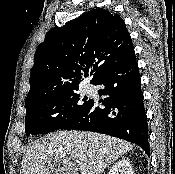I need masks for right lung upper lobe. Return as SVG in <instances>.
Segmentation results:
<instances>
[{"label":"right lung upper lobe","mask_w":175,"mask_h":174,"mask_svg":"<svg viewBox=\"0 0 175 174\" xmlns=\"http://www.w3.org/2000/svg\"><path fill=\"white\" fill-rule=\"evenodd\" d=\"M134 52L130 34L119 15L98 8L55 27L34 56L29 105L52 94L78 88L91 68L94 84L118 61Z\"/></svg>","instance_id":"1"}]
</instances>
